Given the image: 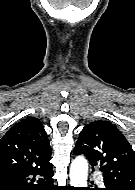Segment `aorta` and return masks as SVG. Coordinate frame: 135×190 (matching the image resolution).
Segmentation results:
<instances>
[{
	"label": "aorta",
	"instance_id": "762f6f07",
	"mask_svg": "<svg viewBox=\"0 0 135 190\" xmlns=\"http://www.w3.org/2000/svg\"><path fill=\"white\" fill-rule=\"evenodd\" d=\"M88 177L87 160L78 156L74 159L70 166V182L73 187H86Z\"/></svg>",
	"mask_w": 135,
	"mask_h": 190
}]
</instances>
